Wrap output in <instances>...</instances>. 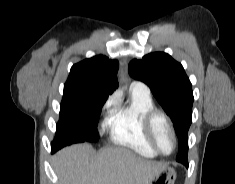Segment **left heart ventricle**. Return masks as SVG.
Segmentation results:
<instances>
[{
    "instance_id": "obj_1",
    "label": "left heart ventricle",
    "mask_w": 235,
    "mask_h": 184,
    "mask_svg": "<svg viewBox=\"0 0 235 184\" xmlns=\"http://www.w3.org/2000/svg\"><path fill=\"white\" fill-rule=\"evenodd\" d=\"M155 138L157 145L162 152L169 154L173 151L175 146L173 134L161 121H159L156 125Z\"/></svg>"
}]
</instances>
